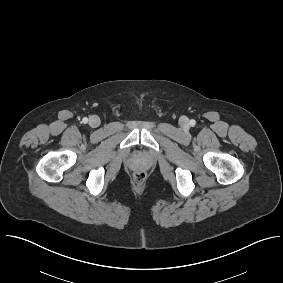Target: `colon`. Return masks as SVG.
Returning a JSON list of instances; mask_svg holds the SVG:
<instances>
[{"instance_id":"colon-1","label":"colon","mask_w":283,"mask_h":283,"mask_svg":"<svg viewBox=\"0 0 283 283\" xmlns=\"http://www.w3.org/2000/svg\"><path fill=\"white\" fill-rule=\"evenodd\" d=\"M145 179V174L143 172H136L134 174V180L138 183L143 182Z\"/></svg>"}]
</instances>
